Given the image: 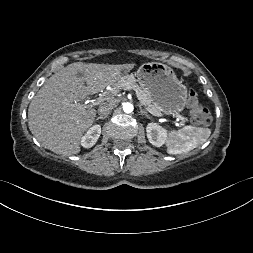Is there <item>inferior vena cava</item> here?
I'll use <instances>...</instances> for the list:
<instances>
[{
	"label": "inferior vena cava",
	"instance_id": "obj_1",
	"mask_svg": "<svg viewBox=\"0 0 253 253\" xmlns=\"http://www.w3.org/2000/svg\"><path fill=\"white\" fill-rule=\"evenodd\" d=\"M115 105H116L115 100H110L108 102H104L103 104H101L99 106L98 112L102 116H107L112 111V109L115 107Z\"/></svg>",
	"mask_w": 253,
	"mask_h": 253
}]
</instances>
